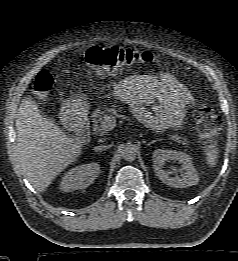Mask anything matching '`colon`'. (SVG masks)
Masks as SVG:
<instances>
[{
    "label": "colon",
    "instance_id": "1",
    "mask_svg": "<svg viewBox=\"0 0 238 261\" xmlns=\"http://www.w3.org/2000/svg\"><path fill=\"white\" fill-rule=\"evenodd\" d=\"M85 61L96 68L99 74L106 75L152 64L157 59L150 52H138L117 46H94L85 53ZM53 83V75L49 71L40 72L33 84L35 95L46 96L51 91ZM221 124V118L213 107L205 104L197 107L196 126L205 143L210 144L217 139Z\"/></svg>",
    "mask_w": 238,
    "mask_h": 261
}]
</instances>
